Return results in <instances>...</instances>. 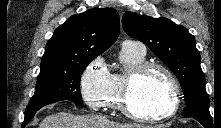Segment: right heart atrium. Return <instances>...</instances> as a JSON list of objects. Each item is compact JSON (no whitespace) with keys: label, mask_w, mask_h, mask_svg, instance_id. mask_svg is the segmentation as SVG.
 <instances>
[{"label":"right heart atrium","mask_w":221,"mask_h":128,"mask_svg":"<svg viewBox=\"0 0 221 128\" xmlns=\"http://www.w3.org/2000/svg\"><path fill=\"white\" fill-rule=\"evenodd\" d=\"M110 84V72L105 60L98 56L84 68L80 80V93L86 105L92 110L103 108V98Z\"/></svg>","instance_id":"right-heart-atrium-1"}]
</instances>
